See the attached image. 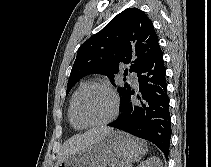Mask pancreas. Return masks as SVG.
<instances>
[{"label":"pancreas","instance_id":"1","mask_svg":"<svg viewBox=\"0 0 211 167\" xmlns=\"http://www.w3.org/2000/svg\"><path fill=\"white\" fill-rule=\"evenodd\" d=\"M111 167H126V166H120V165L112 164Z\"/></svg>","mask_w":211,"mask_h":167}]
</instances>
